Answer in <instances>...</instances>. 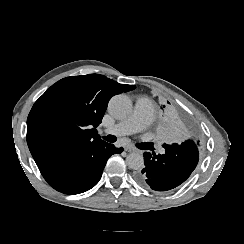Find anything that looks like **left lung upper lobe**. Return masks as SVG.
I'll return each instance as SVG.
<instances>
[{
	"label": "left lung upper lobe",
	"instance_id": "5c2ea615",
	"mask_svg": "<svg viewBox=\"0 0 244 244\" xmlns=\"http://www.w3.org/2000/svg\"><path fill=\"white\" fill-rule=\"evenodd\" d=\"M163 107H165V106H163ZM191 133L193 134V137L192 138L195 139L196 141H199V140H197V137L194 136V133L193 132H191Z\"/></svg>",
	"mask_w": 244,
	"mask_h": 244
}]
</instances>
